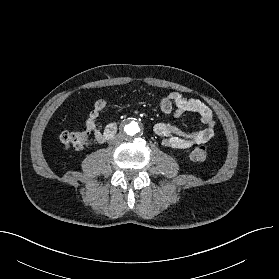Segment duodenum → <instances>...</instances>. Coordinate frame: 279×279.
<instances>
[{
    "label": "duodenum",
    "instance_id": "1",
    "mask_svg": "<svg viewBox=\"0 0 279 279\" xmlns=\"http://www.w3.org/2000/svg\"><path fill=\"white\" fill-rule=\"evenodd\" d=\"M116 131H117V124L116 123L109 124L104 133V141L111 139L115 135Z\"/></svg>",
    "mask_w": 279,
    "mask_h": 279
}]
</instances>
